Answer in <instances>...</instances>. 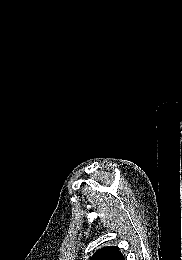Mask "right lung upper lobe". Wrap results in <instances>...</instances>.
<instances>
[{"mask_svg": "<svg viewBox=\"0 0 182 260\" xmlns=\"http://www.w3.org/2000/svg\"><path fill=\"white\" fill-rule=\"evenodd\" d=\"M90 260H125V258L118 247L110 246L96 251Z\"/></svg>", "mask_w": 182, "mask_h": 260, "instance_id": "cb5924a9", "label": "right lung upper lobe"}]
</instances>
